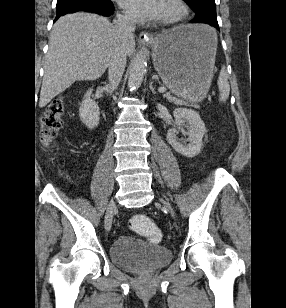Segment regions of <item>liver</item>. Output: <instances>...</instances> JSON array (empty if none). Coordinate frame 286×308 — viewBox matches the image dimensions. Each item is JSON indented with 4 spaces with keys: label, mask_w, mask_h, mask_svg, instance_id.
I'll return each mask as SVG.
<instances>
[{
    "label": "liver",
    "mask_w": 286,
    "mask_h": 308,
    "mask_svg": "<svg viewBox=\"0 0 286 308\" xmlns=\"http://www.w3.org/2000/svg\"><path fill=\"white\" fill-rule=\"evenodd\" d=\"M118 48L131 56L134 36L122 38L107 18L84 12L60 17L50 33L39 107L76 81L101 77Z\"/></svg>",
    "instance_id": "1"
}]
</instances>
